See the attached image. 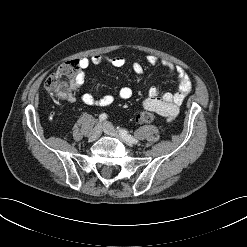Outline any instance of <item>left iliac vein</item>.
<instances>
[{"instance_id":"1","label":"left iliac vein","mask_w":247,"mask_h":247,"mask_svg":"<svg viewBox=\"0 0 247 247\" xmlns=\"http://www.w3.org/2000/svg\"><path fill=\"white\" fill-rule=\"evenodd\" d=\"M103 131L106 133V134H108V135H110V136H113V137H116V138H118V139H120V140H122V141H124V142H128V141H126L121 135H120V133L112 126V124L110 123V122H104L103 123ZM129 144H133V143H130V142H128Z\"/></svg>"}]
</instances>
